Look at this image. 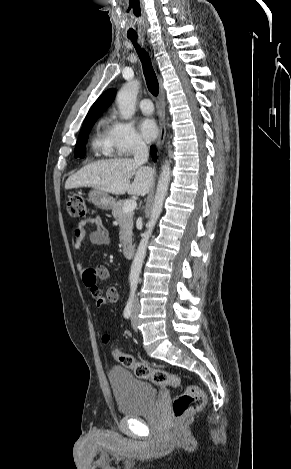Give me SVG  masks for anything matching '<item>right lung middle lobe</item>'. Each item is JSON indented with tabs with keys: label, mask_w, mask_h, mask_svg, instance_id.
<instances>
[{
	"label": "right lung middle lobe",
	"mask_w": 291,
	"mask_h": 469,
	"mask_svg": "<svg viewBox=\"0 0 291 469\" xmlns=\"http://www.w3.org/2000/svg\"><path fill=\"white\" fill-rule=\"evenodd\" d=\"M97 118H87L84 120L83 126L81 128L76 147H75V157L83 158L85 156V142L88 137V134L96 122Z\"/></svg>",
	"instance_id": "1"
}]
</instances>
